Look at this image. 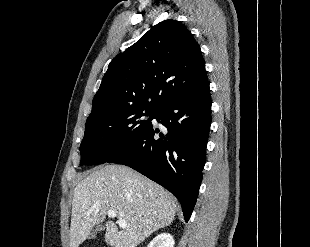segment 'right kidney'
I'll list each match as a JSON object with an SVG mask.
<instances>
[{"label": "right kidney", "mask_w": 310, "mask_h": 247, "mask_svg": "<svg viewBox=\"0 0 310 247\" xmlns=\"http://www.w3.org/2000/svg\"><path fill=\"white\" fill-rule=\"evenodd\" d=\"M175 241L169 233L157 235L148 245V247H174Z\"/></svg>", "instance_id": "obj_1"}]
</instances>
